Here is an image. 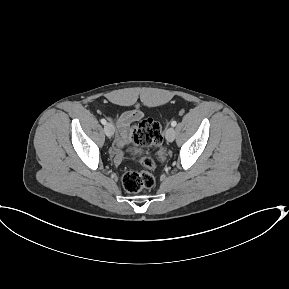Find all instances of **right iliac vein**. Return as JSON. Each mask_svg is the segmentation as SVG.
Listing matches in <instances>:
<instances>
[{"label": "right iliac vein", "instance_id": "1", "mask_svg": "<svg viewBox=\"0 0 289 289\" xmlns=\"http://www.w3.org/2000/svg\"><path fill=\"white\" fill-rule=\"evenodd\" d=\"M104 132L108 137H111L114 135L115 128L111 123H106L104 126Z\"/></svg>", "mask_w": 289, "mask_h": 289}]
</instances>
